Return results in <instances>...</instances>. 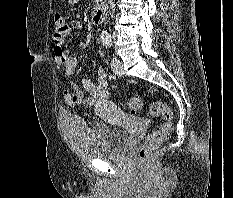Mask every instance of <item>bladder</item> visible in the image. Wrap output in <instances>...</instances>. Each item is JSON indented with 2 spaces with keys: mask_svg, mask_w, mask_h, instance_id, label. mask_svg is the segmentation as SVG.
Here are the masks:
<instances>
[{
  "mask_svg": "<svg viewBox=\"0 0 233 198\" xmlns=\"http://www.w3.org/2000/svg\"><path fill=\"white\" fill-rule=\"evenodd\" d=\"M69 138L82 154L112 158L123 156L131 140L127 130L89 124L77 116L69 118Z\"/></svg>",
  "mask_w": 233,
  "mask_h": 198,
  "instance_id": "31cf9c89",
  "label": "bladder"
}]
</instances>
